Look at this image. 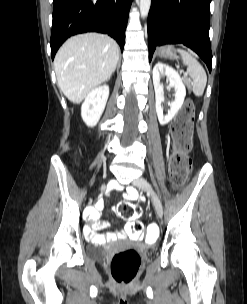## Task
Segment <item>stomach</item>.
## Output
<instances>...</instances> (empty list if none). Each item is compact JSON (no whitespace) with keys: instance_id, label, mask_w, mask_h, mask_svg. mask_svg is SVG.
Wrapping results in <instances>:
<instances>
[{"instance_id":"stomach-1","label":"stomach","mask_w":247,"mask_h":304,"mask_svg":"<svg viewBox=\"0 0 247 304\" xmlns=\"http://www.w3.org/2000/svg\"><path fill=\"white\" fill-rule=\"evenodd\" d=\"M159 55L164 58H170V59L176 58L174 48L172 46H165L161 48V50L159 51Z\"/></svg>"}]
</instances>
